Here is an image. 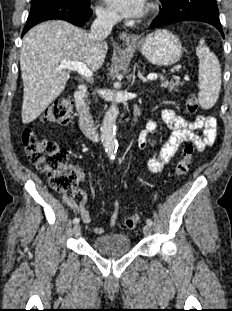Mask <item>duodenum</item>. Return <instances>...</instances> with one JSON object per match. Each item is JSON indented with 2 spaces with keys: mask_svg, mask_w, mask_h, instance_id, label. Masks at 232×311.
<instances>
[{
  "mask_svg": "<svg viewBox=\"0 0 232 311\" xmlns=\"http://www.w3.org/2000/svg\"><path fill=\"white\" fill-rule=\"evenodd\" d=\"M87 93V87L84 84H80L74 91L73 98L76 105V110L78 113L79 125L85 135L96 138L97 129L95 126L94 119L86 106L85 96ZM138 114V111H137ZM136 123V118L132 121L130 128H132Z\"/></svg>",
  "mask_w": 232,
  "mask_h": 311,
  "instance_id": "obj_1",
  "label": "duodenum"
}]
</instances>
